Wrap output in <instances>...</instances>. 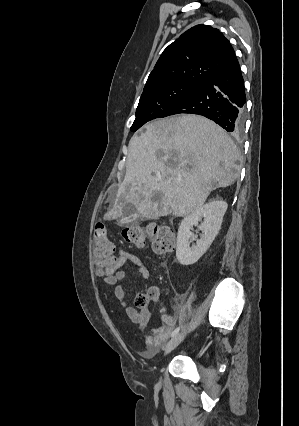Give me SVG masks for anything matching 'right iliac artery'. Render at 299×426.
<instances>
[{
	"label": "right iliac artery",
	"mask_w": 299,
	"mask_h": 426,
	"mask_svg": "<svg viewBox=\"0 0 299 426\" xmlns=\"http://www.w3.org/2000/svg\"><path fill=\"white\" fill-rule=\"evenodd\" d=\"M179 330H180V327H177L176 329H174L171 333V337H174L175 335H177Z\"/></svg>",
	"instance_id": "right-iliac-artery-1"
}]
</instances>
